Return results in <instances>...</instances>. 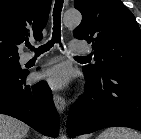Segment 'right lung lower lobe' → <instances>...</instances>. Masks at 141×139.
I'll list each match as a JSON object with an SVG mask.
<instances>
[{"instance_id": "obj_1", "label": "right lung lower lobe", "mask_w": 141, "mask_h": 139, "mask_svg": "<svg viewBox=\"0 0 141 139\" xmlns=\"http://www.w3.org/2000/svg\"><path fill=\"white\" fill-rule=\"evenodd\" d=\"M28 71L0 74V113L15 117L38 132L58 135L59 116L46 82L26 84Z\"/></svg>"}]
</instances>
